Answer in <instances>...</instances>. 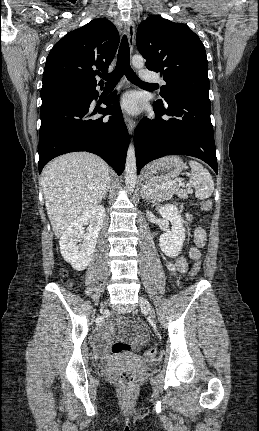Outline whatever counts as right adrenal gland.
Returning a JSON list of instances; mask_svg holds the SVG:
<instances>
[{
  "label": "right adrenal gland",
  "instance_id": "right-adrenal-gland-1",
  "mask_svg": "<svg viewBox=\"0 0 259 431\" xmlns=\"http://www.w3.org/2000/svg\"><path fill=\"white\" fill-rule=\"evenodd\" d=\"M110 183H111V181H110V179H109V181H108V185H107V188H106V190H105V192H104V195H103V198H105V196H106L107 192L109 191Z\"/></svg>",
  "mask_w": 259,
  "mask_h": 431
}]
</instances>
